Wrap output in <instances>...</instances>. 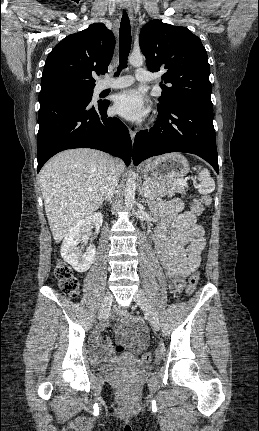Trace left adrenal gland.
I'll return each mask as SVG.
<instances>
[{"instance_id": "obj_1", "label": "left adrenal gland", "mask_w": 259, "mask_h": 431, "mask_svg": "<svg viewBox=\"0 0 259 431\" xmlns=\"http://www.w3.org/2000/svg\"><path fill=\"white\" fill-rule=\"evenodd\" d=\"M141 202H142V203H148V201H147V200H145L144 198H142Z\"/></svg>"}]
</instances>
